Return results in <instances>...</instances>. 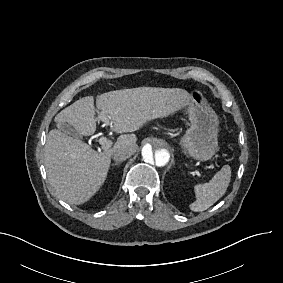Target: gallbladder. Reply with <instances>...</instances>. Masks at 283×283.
<instances>
[{
	"label": "gallbladder",
	"mask_w": 283,
	"mask_h": 283,
	"mask_svg": "<svg viewBox=\"0 0 283 283\" xmlns=\"http://www.w3.org/2000/svg\"><path fill=\"white\" fill-rule=\"evenodd\" d=\"M59 128L65 133L72 135L73 137L79 136V134L68 124L59 125Z\"/></svg>",
	"instance_id": "gallbladder-1"
}]
</instances>
